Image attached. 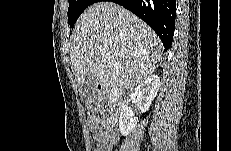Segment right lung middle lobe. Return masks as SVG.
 <instances>
[{
  "mask_svg": "<svg viewBox=\"0 0 231 151\" xmlns=\"http://www.w3.org/2000/svg\"><path fill=\"white\" fill-rule=\"evenodd\" d=\"M97 0H69L68 24L70 27L77 21L81 13Z\"/></svg>",
  "mask_w": 231,
  "mask_h": 151,
  "instance_id": "dd1d6c3e",
  "label": "right lung middle lobe"
}]
</instances>
